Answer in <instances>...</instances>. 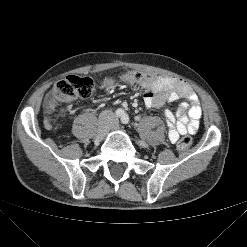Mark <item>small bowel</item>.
Instances as JSON below:
<instances>
[{"label": "small bowel", "instance_id": "1", "mask_svg": "<svg viewBox=\"0 0 247 247\" xmlns=\"http://www.w3.org/2000/svg\"><path fill=\"white\" fill-rule=\"evenodd\" d=\"M145 88L144 104L147 108H160L165 102H175L180 98L182 103L176 112L164 110L165 121L168 126V138L176 143L180 136L194 134L199 128L202 109L194 91L185 82L173 78L162 77L155 82L143 84ZM51 95L48 96L47 102ZM50 118L46 125L49 127Z\"/></svg>", "mask_w": 247, "mask_h": 247}]
</instances>
